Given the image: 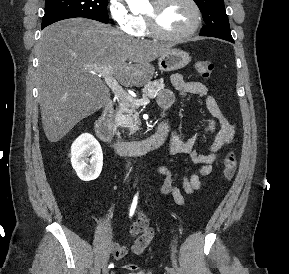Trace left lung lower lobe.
<instances>
[{"mask_svg": "<svg viewBox=\"0 0 289 274\" xmlns=\"http://www.w3.org/2000/svg\"><path fill=\"white\" fill-rule=\"evenodd\" d=\"M224 40H226V39H224ZM227 41H230V42L234 43L233 39H228Z\"/></svg>", "mask_w": 289, "mask_h": 274, "instance_id": "left-lung-lower-lobe-1", "label": "left lung lower lobe"}]
</instances>
